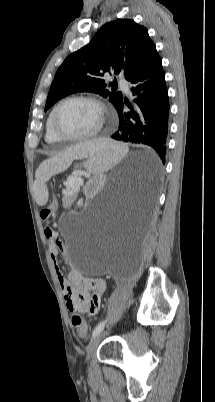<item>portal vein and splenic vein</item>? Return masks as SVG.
<instances>
[{
  "label": "portal vein and splenic vein",
  "mask_w": 215,
  "mask_h": 402,
  "mask_svg": "<svg viewBox=\"0 0 215 402\" xmlns=\"http://www.w3.org/2000/svg\"><path fill=\"white\" fill-rule=\"evenodd\" d=\"M77 182H78L79 184H83V180H82L81 178H79V179L77 180Z\"/></svg>",
  "instance_id": "18ae733b"
}]
</instances>
